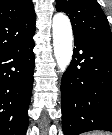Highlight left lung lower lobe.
Masks as SVG:
<instances>
[{
  "instance_id": "1",
  "label": "left lung lower lobe",
  "mask_w": 112,
  "mask_h": 135,
  "mask_svg": "<svg viewBox=\"0 0 112 135\" xmlns=\"http://www.w3.org/2000/svg\"><path fill=\"white\" fill-rule=\"evenodd\" d=\"M74 45L61 81L64 135L112 132V42L74 36Z\"/></svg>"
}]
</instances>
